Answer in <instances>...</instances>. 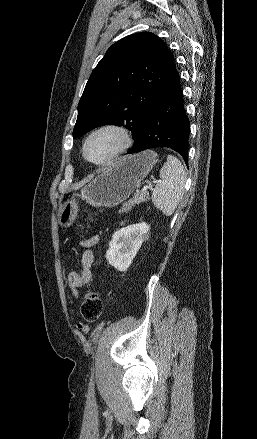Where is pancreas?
<instances>
[{"label":"pancreas","instance_id":"obj_1","mask_svg":"<svg viewBox=\"0 0 257 439\" xmlns=\"http://www.w3.org/2000/svg\"><path fill=\"white\" fill-rule=\"evenodd\" d=\"M149 200V194L147 192L144 193H136L133 198H131L128 202H126L123 207L119 210V213H127L131 210L132 206L135 204H140L142 202H147Z\"/></svg>","mask_w":257,"mask_h":439}]
</instances>
